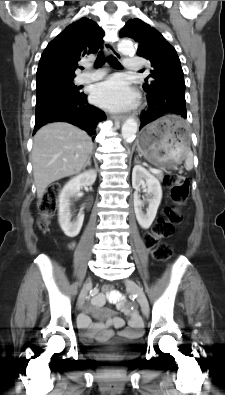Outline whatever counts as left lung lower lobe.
Masks as SVG:
<instances>
[{
    "label": "left lung lower lobe",
    "instance_id": "1",
    "mask_svg": "<svg viewBox=\"0 0 225 395\" xmlns=\"http://www.w3.org/2000/svg\"><path fill=\"white\" fill-rule=\"evenodd\" d=\"M149 107L141 114L140 128L167 113L186 118L185 95L181 92L147 94ZM187 132V128L185 129ZM188 133V132H187Z\"/></svg>",
    "mask_w": 225,
    "mask_h": 395
}]
</instances>
